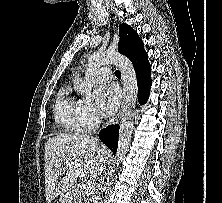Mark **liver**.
Returning <instances> with one entry per match:
<instances>
[{"instance_id":"obj_1","label":"liver","mask_w":222,"mask_h":203,"mask_svg":"<svg viewBox=\"0 0 222 203\" xmlns=\"http://www.w3.org/2000/svg\"><path fill=\"white\" fill-rule=\"evenodd\" d=\"M44 157L45 194L50 203L58 195L72 197L77 178L94 182L106 169L110 153L96 138L60 134L47 140Z\"/></svg>"}]
</instances>
